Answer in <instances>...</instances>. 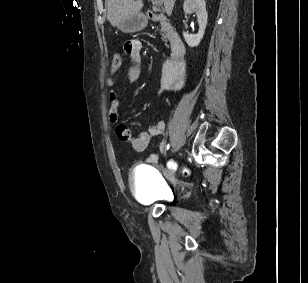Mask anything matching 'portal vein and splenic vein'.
Listing matches in <instances>:
<instances>
[{"label":"portal vein and splenic vein","mask_w":308,"mask_h":283,"mask_svg":"<svg viewBox=\"0 0 308 283\" xmlns=\"http://www.w3.org/2000/svg\"><path fill=\"white\" fill-rule=\"evenodd\" d=\"M151 1H152V3H153L155 6H157V7H159V6L162 5V1H161V0H151Z\"/></svg>","instance_id":"1"}]
</instances>
